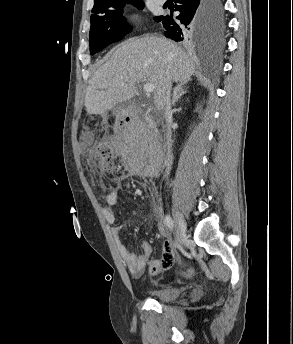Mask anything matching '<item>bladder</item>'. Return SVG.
I'll return each instance as SVG.
<instances>
[{
    "label": "bladder",
    "mask_w": 293,
    "mask_h": 344,
    "mask_svg": "<svg viewBox=\"0 0 293 344\" xmlns=\"http://www.w3.org/2000/svg\"><path fill=\"white\" fill-rule=\"evenodd\" d=\"M149 294L159 301L170 302L176 300L181 295V292L179 289L176 288L162 287L151 290Z\"/></svg>",
    "instance_id": "bladder-1"
}]
</instances>
